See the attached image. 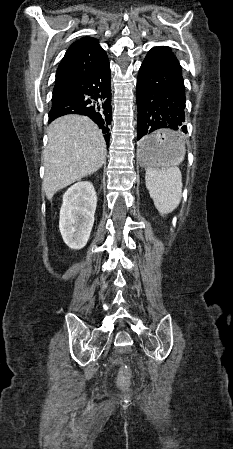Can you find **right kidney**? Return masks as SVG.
Wrapping results in <instances>:
<instances>
[{
  "label": "right kidney",
  "mask_w": 233,
  "mask_h": 449,
  "mask_svg": "<svg viewBox=\"0 0 233 449\" xmlns=\"http://www.w3.org/2000/svg\"><path fill=\"white\" fill-rule=\"evenodd\" d=\"M96 206L97 196L91 182H78L65 192L59 228L69 248L80 250L87 244L94 224Z\"/></svg>",
  "instance_id": "obj_1"
}]
</instances>
